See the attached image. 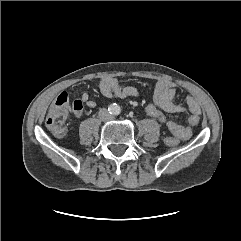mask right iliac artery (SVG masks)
Here are the masks:
<instances>
[{
  "mask_svg": "<svg viewBox=\"0 0 241 241\" xmlns=\"http://www.w3.org/2000/svg\"><path fill=\"white\" fill-rule=\"evenodd\" d=\"M108 110H110L111 112H113V111H114V107H113V106H110Z\"/></svg>",
  "mask_w": 241,
  "mask_h": 241,
  "instance_id": "1",
  "label": "right iliac artery"
}]
</instances>
